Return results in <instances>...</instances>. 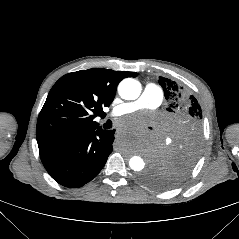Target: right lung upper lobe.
Returning <instances> with one entry per match:
<instances>
[{
	"instance_id": "1",
	"label": "right lung upper lobe",
	"mask_w": 239,
	"mask_h": 239,
	"mask_svg": "<svg viewBox=\"0 0 239 239\" xmlns=\"http://www.w3.org/2000/svg\"><path fill=\"white\" fill-rule=\"evenodd\" d=\"M136 72L93 68L61 77L50 90L39 114L36 137L39 150L82 136L95 128L94 118L104 115L119 82Z\"/></svg>"
}]
</instances>
